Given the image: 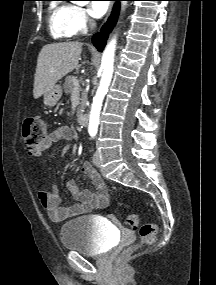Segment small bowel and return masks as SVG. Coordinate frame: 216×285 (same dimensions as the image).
I'll use <instances>...</instances> for the list:
<instances>
[{
	"instance_id": "1",
	"label": "small bowel",
	"mask_w": 216,
	"mask_h": 285,
	"mask_svg": "<svg viewBox=\"0 0 216 285\" xmlns=\"http://www.w3.org/2000/svg\"><path fill=\"white\" fill-rule=\"evenodd\" d=\"M73 138V131L69 126H59L53 130L45 141L42 150H48L60 141L69 142ZM70 145L66 144L61 155L69 152ZM82 172L88 176L93 183L95 190L80 189L75 181L67 183V189L77 200V203L68 206H60V197L54 186L50 190L38 193L42 206L47 210L49 217L54 222H62L66 219L91 212L97 208H104L109 202V193L98 172L88 162L82 165Z\"/></svg>"
}]
</instances>
